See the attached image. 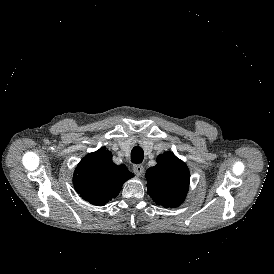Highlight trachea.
Returning <instances> with one entry per match:
<instances>
[{
	"label": "trachea",
	"instance_id": "1",
	"mask_svg": "<svg viewBox=\"0 0 274 274\" xmlns=\"http://www.w3.org/2000/svg\"><path fill=\"white\" fill-rule=\"evenodd\" d=\"M144 158V151L141 146H139L138 143H136V146L133 147L131 151V161L133 163H141Z\"/></svg>",
	"mask_w": 274,
	"mask_h": 274
}]
</instances>
